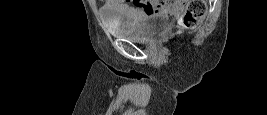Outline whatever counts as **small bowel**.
I'll list each match as a JSON object with an SVG mask.
<instances>
[{"label":"small bowel","instance_id":"small-bowel-1","mask_svg":"<svg viewBox=\"0 0 267 115\" xmlns=\"http://www.w3.org/2000/svg\"><path fill=\"white\" fill-rule=\"evenodd\" d=\"M143 5L149 7L147 10H151L152 13H163L171 15H179L184 9V2L174 1V2H164V3H142ZM105 8H118L123 11L128 17L136 18L140 12L135 9L129 8L127 5L122 4L116 0H108L105 3ZM147 13V11H144Z\"/></svg>","mask_w":267,"mask_h":115}]
</instances>
